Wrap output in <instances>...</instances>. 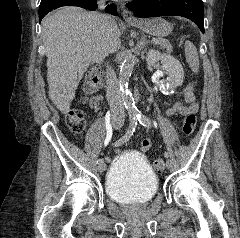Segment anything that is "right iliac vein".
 <instances>
[{"label": "right iliac vein", "instance_id": "obj_1", "mask_svg": "<svg viewBox=\"0 0 240 238\" xmlns=\"http://www.w3.org/2000/svg\"><path fill=\"white\" fill-rule=\"evenodd\" d=\"M114 126H115V128H118V125L117 124H113ZM105 169H106V165L104 164V163H100L99 165H98V171L100 172V173H103L104 171H105Z\"/></svg>", "mask_w": 240, "mask_h": 238}]
</instances>
